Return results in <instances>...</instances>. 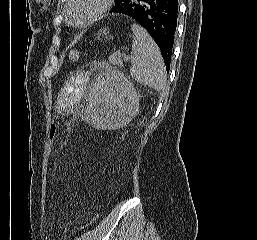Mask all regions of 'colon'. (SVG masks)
I'll return each instance as SVG.
<instances>
[{
    "label": "colon",
    "instance_id": "5ec220e1",
    "mask_svg": "<svg viewBox=\"0 0 257 240\" xmlns=\"http://www.w3.org/2000/svg\"><path fill=\"white\" fill-rule=\"evenodd\" d=\"M80 53L78 50H71L69 53V59L71 61H77L79 59ZM58 134V124L56 122H52L49 126L48 135L50 141H54L57 138Z\"/></svg>",
    "mask_w": 257,
    "mask_h": 240
}]
</instances>
